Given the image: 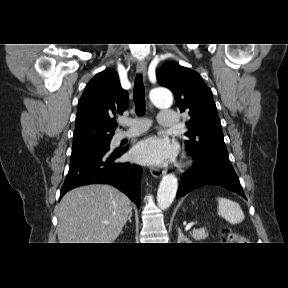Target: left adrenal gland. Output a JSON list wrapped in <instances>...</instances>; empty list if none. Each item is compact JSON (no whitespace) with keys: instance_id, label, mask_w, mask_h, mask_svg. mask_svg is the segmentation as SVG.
I'll use <instances>...</instances> for the list:
<instances>
[{"instance_id":"obj_1","label":"left adrenal gland","mask_w":288,"mask_h":288,"mask_svg":"<svg viewBox=\"0 0 288 288\" xmlns=\"http://www.w3.org/2000/svg\"><path fill=\"white\" fill-rule=\"evenodd\" d=\"M178 242L179 243H190L189 238H187L182 232L181 229L178 228Z\"/></svg>"}]
</instances>
